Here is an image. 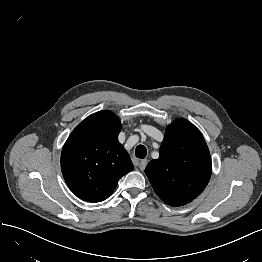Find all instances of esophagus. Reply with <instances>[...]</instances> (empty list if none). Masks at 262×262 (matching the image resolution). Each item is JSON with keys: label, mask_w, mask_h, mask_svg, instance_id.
<instances>
[{"label": "esophagus", "mask_w": 262, "mask_h": 262, "mask_svg": "<svg viewBox=\"0 0 262 262\" xmlns=\"http://www.w3.org/2000/svg\"><path fill=\"white\" fill-rule=\"evenodd\" d=\"M147 165V160H139L137 166L140 170H144Z\"/></svg>", "instance_id": "1"}]
</instances>
